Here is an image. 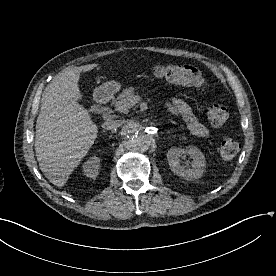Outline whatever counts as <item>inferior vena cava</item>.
I'll return each instance as SVG.
<instances>
[{
	"mask_svg": "<svg viewBox=\"0 0 276 276\" xmlns=\"http://www.w3.org/2000/svg\"><path fill=\"white\" fill-rule=\"evenodd\" d=\"M119 125H120L119 120H111V119H109V120H106L103 123L102 127L104 129L110 130V129H113V128L119 126Z\"/></svg>",
	"mask_w": 276,
	"mask_h": 276,
	"instance_id": "inferior-vena-cava-1",
	"label": "inferior vena cava"
}]
</instances>
